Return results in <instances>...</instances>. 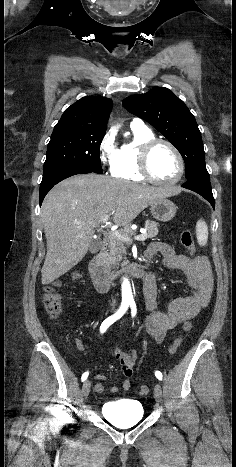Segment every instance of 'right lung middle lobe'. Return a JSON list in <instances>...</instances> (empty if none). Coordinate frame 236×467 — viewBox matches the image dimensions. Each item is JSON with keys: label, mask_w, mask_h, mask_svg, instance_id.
Masks as SVG:
<instances>
[{"label": "right lung middle lobe", "mask_w": 236, "mask_h": 467, "mask_svg": "<svg viewBox=\"0 0 236 467\" xmlns=\"http://www.w3.org/2000/svg\"><path fill=\"white\" fill-rule=\"evenodd\" d=\"M105 132L54 128L47 148L44 173L65 166H78L102 174L99 156Z\"/></svg>", "instance_id": "1"}]
</instances>
